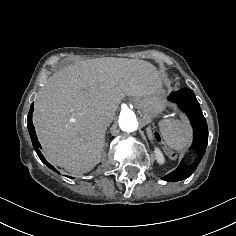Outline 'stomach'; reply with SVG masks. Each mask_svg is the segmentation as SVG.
I'll list each match as a JSON object with an SVG mask.
<instances>
[{
	"label": "stomach",
	"mask_w": 236,
	"mask_h": 236,
	"mask_svg": "<svg viewBox=\"0 0 236 236\" xmlns=\"http://www.w3.org/2000/svg\"><path fill=\"white\" fill-rule=\"evenodd\" d=\"M164 92L160 88L153 96L143 100L146 108H151L154 111L160 112L164 108Z\"/></svg>",
	"instance_id": "1"
}]
</instances>
